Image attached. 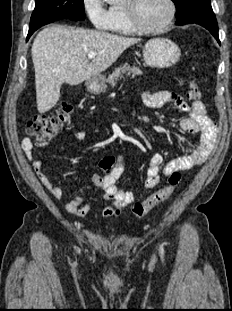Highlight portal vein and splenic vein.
Returning a JSON list of instances; mask_svg holds the SVG:
<instances>
[{"label":"portal vein and splenic vein","mask_w":232,"mask_h":311,"mask_svg":"<svg viewBox=\"0 0 232 311\" xmlns=\"http://www.w3.org/2000/svg\"><path fill=\"white\" fill-rule=\"evenodd\" d=\"M97 53L96 52H90L88 53V58L89 59H94L96 57Z\"/></svg>","instance_id":"portal-vein-and-splenic-vein-1"}]
</instances>
